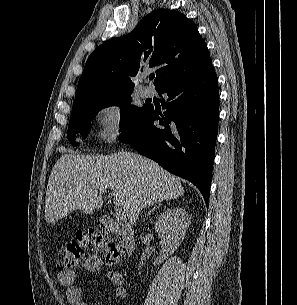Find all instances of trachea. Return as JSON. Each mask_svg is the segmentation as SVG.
Wrapping results in <instances>:
<instances>
[{
  "label": "trachea",
  "mask_w": 297,
  "mask_h": 305,
  "mask_svg": "<svg viewBox=\"0 0 297 305\" xmlns=\"http://www.w3.org/2000/svg\"><path fill=\"white\" fill-rule=\"evenodd\" d=\"M149 79H150V80L154 79V75H150V76H149Z\"/></svg>",
  "instance_id": "3493384b"
}]
</instances>
